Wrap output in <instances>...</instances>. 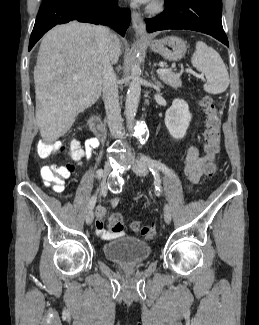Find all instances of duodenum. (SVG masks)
Wrapping results in <instances>:
<instances>
[{
  "label": "duodenum",
  "mask_w": 259,
  "mask_h": 325,
  "mask_svg": "<svg viewBox=\"0 0 259 325\" xmlns=\"http://www.w3.org/2000/svg\"><path fill=\"white\" fill-rule=\"evenodd\" d=\"M89 126L96 138L102 140L106 136V128L98 115H91L89 118Z\"/></svg>",
  "instance_id": "obj_1"
}]
</instances>
